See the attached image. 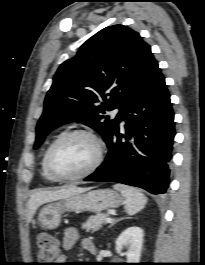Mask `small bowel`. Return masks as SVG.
<instances>
[{"label":"small bowel","mask_w":205,"mask_h":265,"mask_svg":"<svg viewBox=\"0 0 205 265\" xmlns=\"http://www.w3.org/2000/svg\"><path fill=\"white\" fill-rule=\"evenodd\" d=\"M76 240H77V231L74 228L66 229L63 234V238H62V248L64 250H70L76 243ZM91 245H94V244L89 239H85L82 242V246L86 251H88L87 248ZM65 259H66L65 256L61 255L58 258V262H64ZM59 264H62V263H59Z\"/></svg>","instance_id":"obj_1"}]
</instances>
